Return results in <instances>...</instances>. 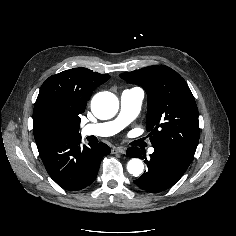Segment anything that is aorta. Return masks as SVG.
<instances>
[{
	"label": "aorta",
	"instance_id": "obj_1",
	"mask_svg": "<svg viewBox=\"0 0 236 236\" xmlns=\"http://www.w3.org/2000/svg\"><path fill=\"white\" fill-rule=\"evenodd\" d=\"M93 114L100 119L112 118L119 109L118 98L111 92L97 93L91 101ZM127 170L133 176H139L144 170L142 160L131 159L127 164Z\"/></svg>",
	"mask_w": 236,
	"mask_h": 236
}]
</instances>
